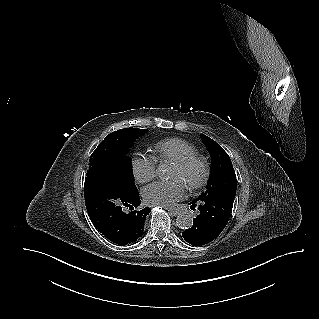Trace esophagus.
Here are the masks:
<instances>
[{
    "mask_svg": "<svg viewBox=\"0 0 319 319\" xmlns=\"http://www.w3.org/2000/svg\"><path fill=\"white\" fill-rule=\"evenodd\" d=\"M167 210H168V212H169L170 214H172L173 216L179 215V212H178L177 210H175V209H168V208H167Z\"/></svg>",
    "mask_w": 319,
    "mask_h": 319,
    "instance_id": "obj_1",
    "label": "esophagus"
}]
</instances>
